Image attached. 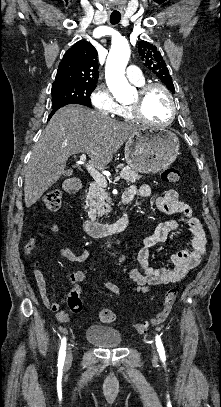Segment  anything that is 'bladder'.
Returning <instances> with one entry per match:
<instances>
[{"label":"bladder","instance_id":"1","mask_svg":"<svg viewBox=\"0 0 221 407\" xmlns=\"http://www.w3.org/2000/svg\"><path fill=\"white\" fill-rule=\"evenodd\" d=\"M85 339L101 347H118L122 336L118 330L108 325H92L85 331Z\"/></svg>","mask_w":221,"mask_h":407}]
</instances>
